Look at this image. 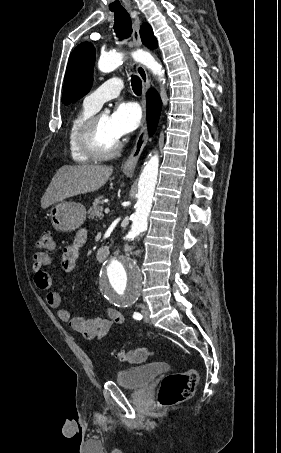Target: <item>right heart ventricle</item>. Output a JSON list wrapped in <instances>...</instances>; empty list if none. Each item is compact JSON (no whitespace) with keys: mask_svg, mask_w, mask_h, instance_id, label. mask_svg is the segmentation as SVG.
I'll return each mask as SVG.
<instances>
[{"mask_svg":"<svg viewBox=\"0 0 281 453\" xmlns=\"http://www.w3.org/2000/svg\"><path fill=\"white\" fill-rule=\"evenodd\" d=\"M98 110L89 105L86 100L84 106L71 119L68 128V145L71 156L75 162H87L91 158L82 151L80 147V133L84 125L96 114Z\"/></svg>","mask_w":281,"mask_h":453,"instance_id":"1","label":"right heart ventricle"}]
</instances>
